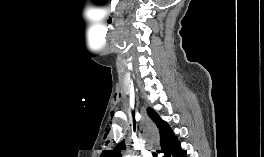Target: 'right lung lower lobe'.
Masks as SVG:
<instances>
[{"instance_id": "98d812e1", "label": "right lung lower lobe", "mask_w": 264, "mask_h": 157, "mask_svg": "<svg viewBox=\"0 0 264 157\" xmlns=\"http://www.w3.org/2000/svg\"><path fill=\"white\" fill-rule=\"evenodd\" d=\"M163 153V157H187L186 150L181 149V145L178 140H175L173 144L168 147Z\"/></svg>"}]
</instances>
